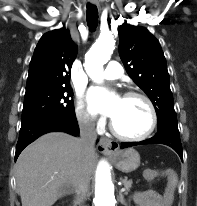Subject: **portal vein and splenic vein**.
I'll list each match as a JSON object with an SVG mask.
<instances>
[{
  "label": "portal vein and splenic vein",
  "mask_w": 197,
  "mask_h": 206,
  "mask_svg": "<svg viewBox=\"0 0 197 206\" xmlns=\"http://www.w3.org/2000/svg\"><path fill=\"white\" fill-rule=\"evenodd\" d=\"M124 191H125V189H124V188H122V189H121V192H124Z\"/></svg>",
  "instance_id": "portal-vein-and-splenic-vein-1"
}]
</instances>
